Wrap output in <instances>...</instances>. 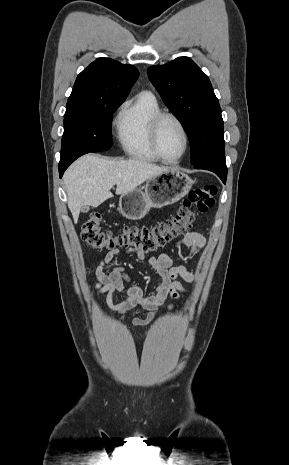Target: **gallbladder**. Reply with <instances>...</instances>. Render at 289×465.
I'll return each mask as SVG.
<instances>
[{
    "mask_svg": "<svg viewBox=\"0 0 289 465\" xmlns=\"http://www.w3.org/2000/svg\"><path fill=\"white\" fill-rule=\"evenodd\" d=\"M88 210H89V207H88L87 205L82 206V208H81V211H82L83 213L88 212Z\"/></svg>",
    "mask_w": 289,
    "mask_h": 465,
    "instance_id": "obj_1",
    "label": "gallbladder"
}]
</instances>
